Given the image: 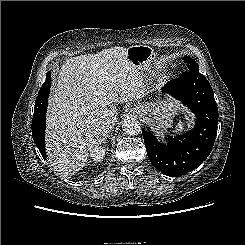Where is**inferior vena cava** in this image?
I'll list each match as a JSON object with an SVG mask.
<instances>
[{
	"label": "inferior vena cava",
	"instance_id": "obj_1",
	"mask_svg": "<svg viewBox=\"0 0 245 245\" xmlns=\"http://www.w3.org/2000/svg\"><path fill=\"white\" fill-rule=\"evenodd\" d=\"M101 119H102V123L103 125L107 128V129H112L115 126L116 123V115L114 112H112L111 110H104L101 113Z\"/></svg>",
	"mask_w": 245,
	"mask_h": 245
}]
</instances>
